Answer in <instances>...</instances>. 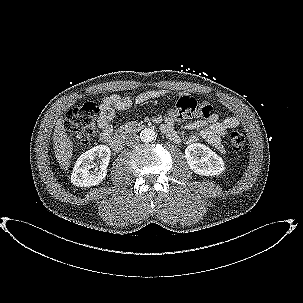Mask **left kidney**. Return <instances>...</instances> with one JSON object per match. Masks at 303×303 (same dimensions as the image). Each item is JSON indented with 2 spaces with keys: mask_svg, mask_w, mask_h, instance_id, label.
<instances>
[{
  "mask_svg": "<svg viewBox=\"0 0 303 303\" xmlns=\"http://www.w3.org/2000/svg\"><path fill=\"white\" fill-rule=\"evenodd\" d=\"M189 167L202 176H216L225 170L224 161L209 147L201 143H192L185 149Z\"/></svg>",
  "mask_w": 303,
  "mask_h": 303,
  "instance_id": "left-kidney-1",
  "label": "left kidney"
}]
</instances>
